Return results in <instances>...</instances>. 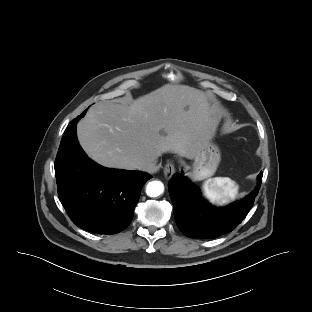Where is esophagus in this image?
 Returning a JSON list of instances; mask_svg holds the SVG:
<instances>
[{"label":"esophagus","mask_w":312,"mask_h":312,"mask_svg":"<svg viewBox=\"0 0 312 312\" xmlns=\"http://www.w3.org/2000/svg\"><path fill=\"white\" fill-rule=\"evenodd\" d=\"M175 173V167L172 162H167L164 167V176L166 179H170L172 175Z\"/></svg>","instance_id":"esophagus-1"}]
</instances>
